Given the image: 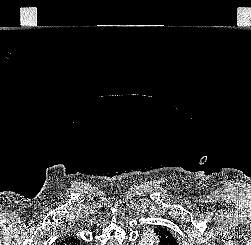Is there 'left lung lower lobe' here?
Masks as SVG:
<instances>
[{
	"label": "left lung lower lobe",
	"instance_id": "1",
	"mask_svg": "<svg viewBox=\"0 0 251 245\" xmlns=\"http://www.w3.org/2000/svg\"><path fill=\"white\" fill-rule=\"evenodd\" d=\"M155 235L157 245H178L175 237L165 227L156 228Z\"/></svg>",
	"mask_w": 251,
	"mask_h": 245
}]
</instances>
